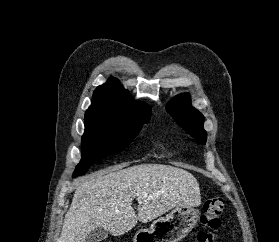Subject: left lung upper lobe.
I'll return each mask as SVG.
<instances>
[{"mask_svg": "<svg viewBox=\"0 0 279 242\" xmlns=\"http://www.w3.org/2000/svg\"><path fill=\"white\" fill-rule=\"evenodd\" d=\"M190 102L188 93L180 94L167 104V112L192 137L206 143V131L203 128L204 117L199 111L191 107Z\"/></svg>", "mask_w": 279, "mask_h": 242, "instance_id": "obj_1", "label": "left lung upper lobe"}]
</instances>
